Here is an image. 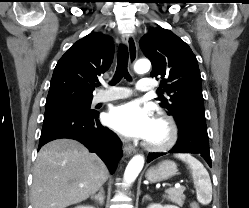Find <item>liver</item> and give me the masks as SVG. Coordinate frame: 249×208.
<instances>
[{"label": "liver", "instance_id": "6515ba94", "mask_svg": "<svg viewBox=\"0 0 249 208\" xmlns=\"http://www.w3.org/2000/svg\"><path fill=\"white\" fill-rule=\"evenodd\" d=\"M103 161L72 139L44 145L33 170V208H66L95 194L108 179ZM83 185V187H80Z\"/></svg>", "mask_w": 249, "mask_h": 208}]
</instances>
